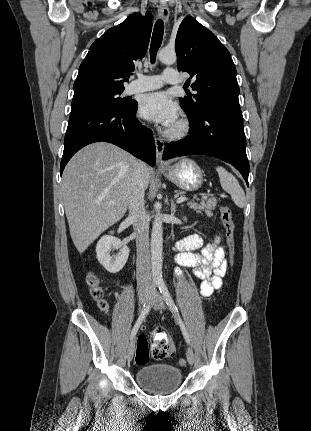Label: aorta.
<instances>
[{
	"label": "aorta",
	"mask_w": 311,
	"mask_h": 431,
	"mask_svg": "<svg viewBox=\"0 0 311 431\" xmlns=\"http://www.w3.org/2000/svg\"><path fill=\"white\" fill-rule=\"evenodd\" d=\"M158 60L162 64H175L177 62L175 50H160L157 54ZM156 217L152 225L151 233V269L153 283L163 281L162 279V265H163V229L162 219L159 216L161 204L156 202L155 206Z\"/></svg>",
	"instance_id": "1"
}]
</instances>
